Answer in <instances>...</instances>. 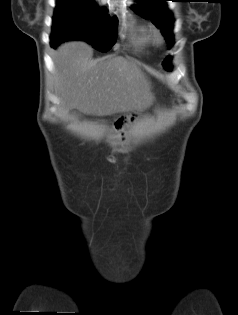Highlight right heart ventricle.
Segmentation results:
<instances>
[{
    "mask_svg": "<svg viewBox=\"0 0 238 315\" xmlns=\"http://www.w3.org/2000/svg\"><path fill=\"white\" fill-rule=\"evenodd\" d=\"M131 32L139 43H148L152 40L151 31L145 25H133Z\"/></svg>",
    "mask_w": 238,
    "mask_h": 315,
    "instance_id": "e07e8e85",
    "label": "right heart ventricle"
}]
</instances>
